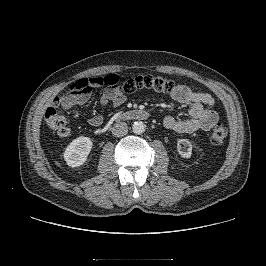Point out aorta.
<instances>
[{"mask_svg":"<svg viewBox=\"0 0 266 266\" xmlns=\"http://www.w3.org/2000/svg\"><path fill=\"white\" fill-rule=\"evenodd\" d=\"M146 125L142 121H135L132 125V131L134 134L140 135L145 132Z\"/></svg>","mask_w":266,"mask_h":266,"instance_id":"obj_1","label":"aorta"}]
</instances>
